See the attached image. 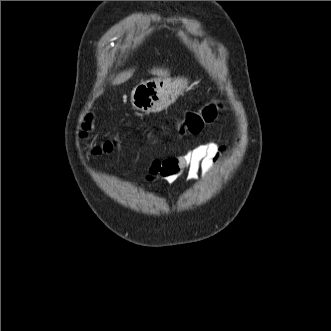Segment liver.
<instances>
[{
    "label": "liver",
    "instance_id": "obj_1",
    "mask_svg": "<svg viewBox=\"0 0 331 331\" xmlns=\"http://www.w3.org/2000/svg\"><path fill=\"white\" fill-rule=\"evenodd\" d=\"M134 71H135V69H130V70L121 72L113 80V84L119 85V84L126 82L128 79H130L132 77ZM150 72H151V74L157 75L159 77L168 78L170 76V72L164 68H153Z\"/></svg>",
    "mask_w": 331,
    "mask_h": 331
}]
</instances>
